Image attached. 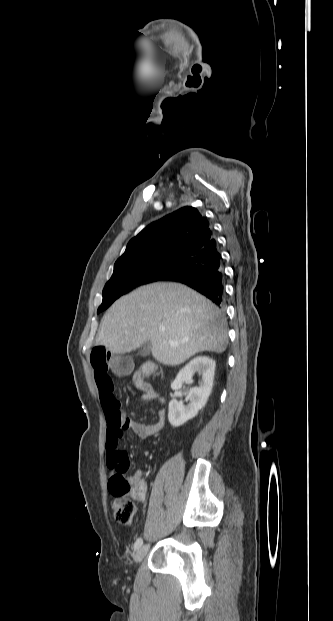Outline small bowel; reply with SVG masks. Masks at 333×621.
Returning <instances> with one entry per match:
<instances>
[{"label":"small bowel","instance_id":"1","mask_svg":"<svg viewBox=\"0 0 333 621\" xmlns=\"http://www.w3.org/2000/svg\"><path fill=\"white\" fill-rule=\"evenodd\" d=\"M90 362L93 368L96 386L99 392L101 406L105 414L107 423L106 451L107 465L110 469L122 466L129 467V458L125 451L119 448V443L125 431H132L137 437L146 439L159 432L165 424V411L160 410L158 420L151 424L134 421L126 417L121 409L120 403L114 395V383L109 371L121 372L128 367V362L118 356L113 355L103 347H95L91 351ZM134 388L131 390L142 401L164 400L160 397L157 390L147 381L133 377ZM131 478L140 482L143 491L135 496L137 500H144L147 492V485L142 478V472L136 471Z\"/></svg>","mask_w":333,"mask_h":621}]
</instances>
